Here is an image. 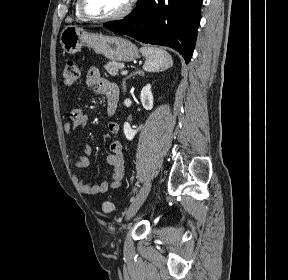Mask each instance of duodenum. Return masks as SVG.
<instances>
[{
	"label": "duodenum",
	"mask_w": 288,
	"mask_h": 280,
	"mask_svg": "<svg viewBox=\"0 0 288 280\" xmlns=\"http://www.w3.org/2000/svg\"><path fill=\"white\" fill-rule=\"evenodd\" d=\"M117 105H118V100L117 99H113L112 101H110L109 103V112L111 114H114L116 109H117Z\"/></svg>",
	"instance_id": "1"
}]
</instances>
